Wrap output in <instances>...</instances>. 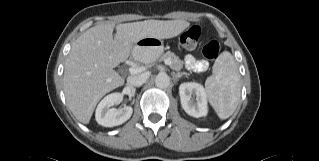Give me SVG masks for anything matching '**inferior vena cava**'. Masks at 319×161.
Returning a JSON list of instances; mask_svg holds the SVG:
<instances>
[{
    "instance_id": "602c4592",
    "label": "inferior vena cava",
    "mask_w": 319,
    "mask_h": 161,
    "mask_svg": "<svg viewBox=\"0 0 319 161\" xmlns=\"http://www.w3.org/2000/svg\"><path fill=\"white\" fill-rule=\"evenodd\" d=\"M148 78H149L148 73L131 75L127 78V82H128V84L133 85V86H141L142 84H144L147 81Z\"/></svg>"
}]
</instances>
